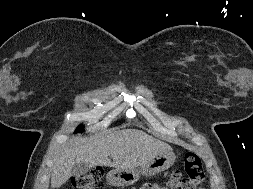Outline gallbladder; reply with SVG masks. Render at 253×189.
I'll return each mask as SVG.
<instances>
[{
	"instance_id": "obj_1",
	"label": "gallbladder",
	"mask_w": 253,
	"mask_h": 189,
	"mask_svg": "<svg viewBox=\"0 0 253 189\" xmlns=\"http://www.w3.org/2000/svg\"><path fill=\"white\" fill-rule=\"evenodd\" d=\"M89 168L90 167L87 164L76 163L72 169V176H80L82 174H85L88 172Z\"/></svg>"
}]
</instances>
